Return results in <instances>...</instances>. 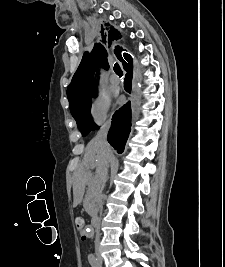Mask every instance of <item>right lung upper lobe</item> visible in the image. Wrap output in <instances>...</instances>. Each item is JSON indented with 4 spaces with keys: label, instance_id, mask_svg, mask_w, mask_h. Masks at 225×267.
Returning <instances> with one entry per match:
<instances>
[{
    "label": "right lung upper lobe",
    "instance_id": "cb5924a9",
    "mask_svg": "<svg viewBox=\"0 0 225 267\" xmlns=\"http://www.w3.org/2000/svg\"><path fill=\"white\" fill-rule=\"evenodd\" d=\"M106 28L109 29L108 34L104 35L102 28V42L107 43L110 47L112 42L121 38V35L118 33L116 29L110 27L109 24H105ZM121 50L116 47L115 54L119 57L121 56ZM124 69L129 65L124 60H122ZM97 67H103L104 69H108V51L105 47L96 43L92 52L89 54L85 52L80 65L75 72L72 81L67 89V96L70 105L78 102L81 98H83L87 92H89L92 88L96 87L97 80H94L95 70Z\"/></svg>",
    "mask_w": 225,
    "mask_h": 267
}]
</instances>
